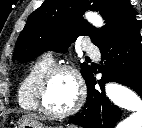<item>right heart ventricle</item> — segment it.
<instances>
[{
  "instance_id": "e07e8e85",
  "label": "right heart ventricle",
  "mask_w": 142,
  "mask_h": 128,
  "mask_svg": "<svg viewBox=\"0 0 142 128\" xmlns=\"http://www.w3.org/2000/svg\"><path fill=\"white\" fill-rule=\"evenodd\" d=\"M53 65V60L42 57L34 62L23 75L17 90L19 105L27 111H38L35 93L42 74Z\"/></svg>"
}]
</instances>
